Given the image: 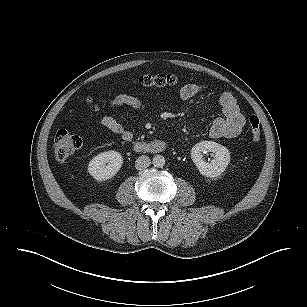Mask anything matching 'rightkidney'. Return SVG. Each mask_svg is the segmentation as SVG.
Segmentation results:
<instances>
[{
	"label": "right kidney",
	"mask_w": 307,
	"mask_h": 307,
	"mask_svg": "<svg viewBox=\"0 0 307 307\" xmlns=\"http://www.w3.org/2000/svg\"><path fill=\"white\" fill-rule=\"evenodd\" d=\"M122 164V155L111 150L100 153L91 159L88 164V172L95 180L105 181L115 176Z\"/></svg>",
	"instance_id": "ca27d5eb"
}]
</instances>
